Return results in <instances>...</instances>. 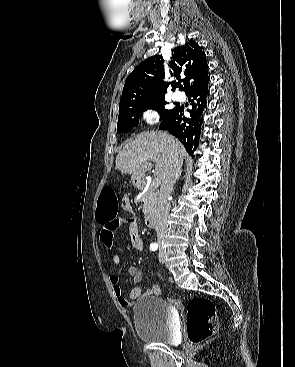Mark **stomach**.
I'll return each mask as SVG.
<instances>
[{
  "label": "stomach",
  "mask_w": 295,
  "mask_h": 367,
  "mask_svg": "<svg viewBox=\"0 0 295 367\" xmlns=\"http://www.w3.org/2000/svg\"><path fill=\"white\" fill-rule=\"evenodd\" d=\"M131 181H132V184L135 187H137V188H141L143 186V179H142V177L132 176L131 177Z\"/></svg>",
  "instance_id": "0dacf381"
}]
</instances>
